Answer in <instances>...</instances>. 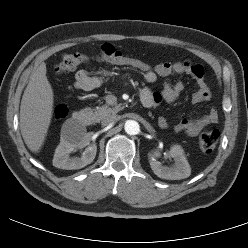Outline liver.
Wrapping results in <instances>:
<instances>
[{
	"instance_id": "6515ba94",
	"label": "liver",
	"mask_w": 248,
	"mask_h": 248,
	"mask_svg": "<svg viewBox=\"0 0 248 248\" xmlns=\"http://www.w3.org/2000/svg\"><path fill=\"white\" fill-rule=\"evenodd\" d=\"M42 62L30 76L20 105V130L27 147L38 153L45 142L53 113V90Z\"/></svg>"
}]
</instances>
